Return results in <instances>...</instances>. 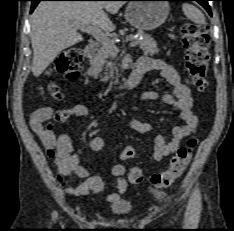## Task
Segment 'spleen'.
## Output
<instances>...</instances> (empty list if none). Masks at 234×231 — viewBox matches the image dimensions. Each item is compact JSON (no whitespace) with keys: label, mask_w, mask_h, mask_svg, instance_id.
<instances>
[{"label":"spleen","mask_w":234,"mask_h":231,"mask_svg":"<svg viewBox=\"0 0 234 231\" xmlns=\"http://www.w3.org/2000/svg\"><path fill=\"white\" fill-rule=\"evenodd\" d=\"M182 10L187 18L192 20L193 22L197 24H204L205 23V17L204 14L196 8L194 5H191L189 3H184L182 5Z\"/></svg>","instance_id":"1"}]
</instances>
